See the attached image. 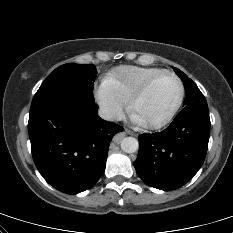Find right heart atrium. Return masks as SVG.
<instances>
[{
  "instance_id": "1",
  "label": "right heart atrium",
  "mask_w": 233,
  "mask_h": 233,
  "mask_svg": "<svg viewBox=\"0 0 233 233\" xmlns=\"http://www.w3.org/2000/svg\"><path fill=\"white\" fill-rule=\"evenodd\" d=\"M94 96L106 118L113 120L122 115L125 103L119 100L103 84L95 88Z\"/></svg>"
}]
</instances>
